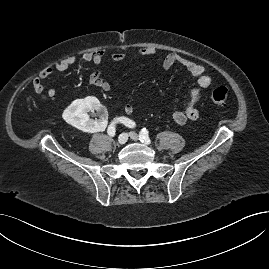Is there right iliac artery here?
I'll use <instances>...</instances> for the list:
<instances>
[{"label":"right iliac artery","instance_id":"obj_1","mask_svg":"<svg viewBox=\"0 0 269 269\" xmlns=\"http://www.w3.org/2000/svg\"><path fill=\"white\" fill-rule=\"evenodd\" d=\"M119 121L124 123L129 128L135 127V122H133L132 120H130L128 118H125V117L119 118ZM115 132H116V129H115V125L113 123L108 127L107 133H108L109 136L113 137L115 135Z\"/></svg>","mask_w":269,"mask_h":269}]
</instances>
